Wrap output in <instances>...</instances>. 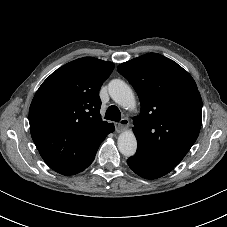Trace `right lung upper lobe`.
<instances>
[{"mask_svg": "<svg viewBox=\"0 0 227 227\" xmlns=\"http://www.w3.org/2000/svg\"><path fill=\"white\" fill-rule=\"evenodd\" d=\"M111 62L84 57L53 72L39 87L30 109L32 139L46 164L73 175L91 162L113 125L102 121L99 90Z\"/></svg>", "mask_w": 227, "mask_h": 227, "instance_id": "right-lung-upper-lobe-1", "label": "right lung upper lobe"}]
</instances>
